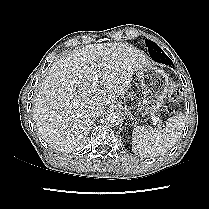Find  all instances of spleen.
Here are the masks:
<instances>
[{
    "label": "spleen",
    "mask_w": 209,
    "mask_h": 209,
    "mask_svg": "<svg viewBox=\"0 0 209 209\" xmlns=\"http://www.w3.org/2000/svg\"><path fill=\"white\" fill-rule=\"evenodd\" d=\"M186 117L178 113L169 118L162 130H153L150 126L138 127L132 134V151L141 157L163 155L180 138L185 127Z\"/></svg>",
    "instance_id": "1"
}]
</instances>
